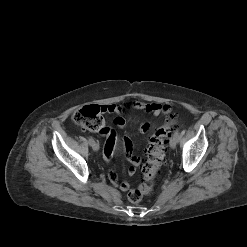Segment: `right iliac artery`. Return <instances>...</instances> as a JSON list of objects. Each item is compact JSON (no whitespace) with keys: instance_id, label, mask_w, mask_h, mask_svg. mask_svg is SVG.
<instances>
[{"instance_id":"82829eb1","label":"right iliac artery","mask_w":247,"mask_h":247,"mask_svg":"<svg viewBox=\"0 0 247 247\" xmlns=\"http://www.w3.org/2000/svg\"><path fill=\"white\" fill-rule=\"evenodd\" d=\"M88 141H89V144H91L94 140H93L92 137H89V138H88Z\"/></svg>"}]
</instances>
